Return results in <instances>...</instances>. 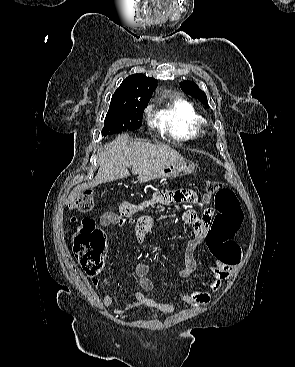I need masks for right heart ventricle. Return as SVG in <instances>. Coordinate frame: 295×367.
I'll list each match as a JSON object with an SVG mask.
<instances>
[{
	"mask_svg": "<svg viewBox=\"0 0 295 367\" xmlns=\"http://www.w3.org/2000/svg\"><path fill=\"white\" fill-rule=\"evenodd\" d=\"M156 125L177 140H190L205 134L206 118L186 100H177L155 116Z\"/></svg>",
	"mask_w": 295,
	"mask_h": 367,
	"instance_id": "right-heart-ventricle-1",
	"label": "right heart ventricle"
}]
</instances>
